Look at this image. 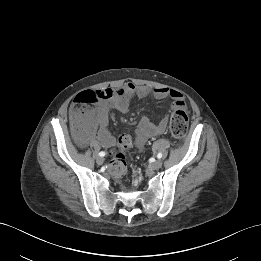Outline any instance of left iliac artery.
I'll list each match as a JSON object with an SVG mask.
<instances>
[{
    "mask_svg": "<svg viewBox=\"0 0 261 261\" xmlns=\"http://www.w3.org/2000/svg\"><path fill=\"white\" fill-rule=\"evenodd\" d=\"M162 156H163L162 153H158V154H157V158H158V159H161Z\"/></svg>",
    "mask_w": 261,
    "mask_h": 261,
    "instance_id": "obj_1",
    "label": "left iliac artery"
}]
</instances>
